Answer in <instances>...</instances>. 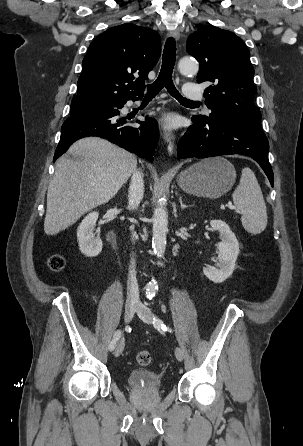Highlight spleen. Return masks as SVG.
<instances>
[{"mask_svg":"<svg viewBox=\"0 0 303 446\" xmlns=\"http://www.w3.org/2000/svg\"><path fill=\"white\" fill-rule=\"evenodd\" d=\"M233 202L241 211L244 229L251 234H260L267 226V210L261 188L254 172L242 169L240 183L235 189Z\"/></svg>","mask_w":303,"mask_h":446,"instance_id":"3e777b00","label":"spleen"}]
</instances>
